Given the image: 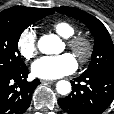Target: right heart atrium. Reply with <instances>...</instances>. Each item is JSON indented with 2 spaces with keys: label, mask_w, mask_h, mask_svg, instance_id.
<instances>
[{
  "label": "right heart atrium",
  "mask_w": 114,
  "mask_h": 114,
  "mask_svg": "<svg viewBox=\"0 0 114 114\" xmlns=\"http://www.w3.org/2000/svg\"><path fill=\"white\" fill-rule=\"evenodd\" d=\"M17 48L26 60H30L37 54V33L33 27H28L21 32L17 40Z\"/></svg>",
  "instance_id": "1"
}]
</instances>
